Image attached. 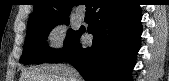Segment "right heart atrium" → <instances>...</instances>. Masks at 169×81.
I'll list each match as a JSON object with an SVG mask.
<instances>
[{"label":"right heart atrium","mask_w":169,"mask_h":81,"mask_svg":"<svg viewBox=\"0 0 169 81\" xmlns=\"http://www.w3.org/2000/svg\"><path fill=\"white\" fill-rule=\"evenodd\" d=\"M68 26L63 21H57L47 31V41L51 50L62 49L67 40Z\"/></svg>","instance_id":"d8ad5b80"}]
</instances>
